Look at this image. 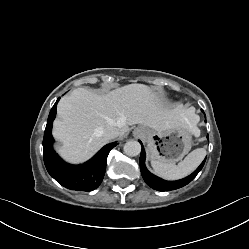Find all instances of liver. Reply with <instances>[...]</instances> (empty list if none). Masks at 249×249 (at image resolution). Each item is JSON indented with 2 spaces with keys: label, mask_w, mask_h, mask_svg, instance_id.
Wrapping results in <instances>:
<instances>
[{
  "label": "liver",
  "mask_w": 249,
  "mask_h": 249,
  "mask_svg": "<svg viewBox=\"0 0 249 249\" xmlns=\"http://www.w3.org/2000/svg\"><path fill=\"white\" fill-rule=\"evenodd\" d=\"M57 115L53 135L62 143L57 151L72 163L89 159L109 141L103 135L107 127L117 128L123 137L135 124L156 131L186 124L192 133L200 135L194 108L167 106L157 92L144 84H129L102 95L76 88L61 98Z\"/></svg>",
  "instance_id": "obj_1"
}]
</instances>
